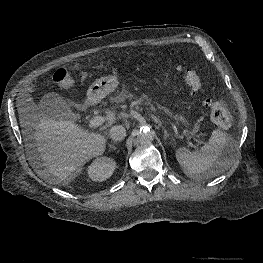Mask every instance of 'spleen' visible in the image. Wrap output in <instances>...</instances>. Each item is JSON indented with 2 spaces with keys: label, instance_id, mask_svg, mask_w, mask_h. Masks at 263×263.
I'll use <instances>...</instances> for the list:
<instances>
[{
  "label": "spleen",
  "instance_id": "spleen-1",
  "mask_svg": "<svg viewBox=\"0 0 263 263\" xmlns=\"http://www.w3.org/2000/svg\"><path fill=\"white\" fill-rule=\"evenodd\" d=\"M234 151L235 142L216 129L200 150L191 152L182 147L176 150L175 155L184 173L191 179H198L210 175L208 172L212 167L217 169L216 173L226 170L232 163Z\"/></svg>",
  "mask_w": 263,
  "mask_h": 263
}]
</instances>
